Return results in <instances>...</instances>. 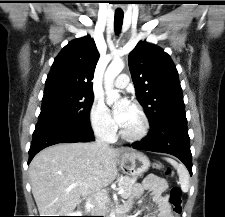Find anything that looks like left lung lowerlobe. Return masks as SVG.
<instances>
[{"instance_id":"left-lung-lower-lobe-1","label":"left lung lower lobe","mask_w":225,"mask_h":217,"mask_svg":"<svg viewBox=\"0 0 225 217\" xmlns=\"http://www.w3.org/2000/svg\"><path fill=\"white\" fill-rule=\"evenodd\" d=\"M131 146L174 155L185 164L192 175V154L186 117H176L156 124L151 127L148 136Z\"/></svg>"}]
</instances>
